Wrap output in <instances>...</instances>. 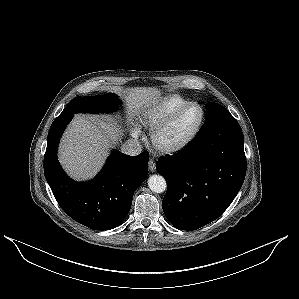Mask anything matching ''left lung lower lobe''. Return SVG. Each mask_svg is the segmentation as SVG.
Wrapping results in <instances>:
<instances>
[{
	"mask_svg": "<svg viewBox=\"0 0 299 299\" xmlns=\"http://www.w3.org/2000/svg\"><path fill=\"white\" fill-rule=\"evenodd\" d=\"M166 178L163 211L181 230H196L217 219L239 192L246 174L244 137L229 115L197 136L182 151L160 159Z\"/></svg>",
	"mask_w": 299,
	"mask_h": 299,
	"instance_id": "left-lung-lower-lobe-1",
	"label": "left lung lower lobe"
}]
</instances>
